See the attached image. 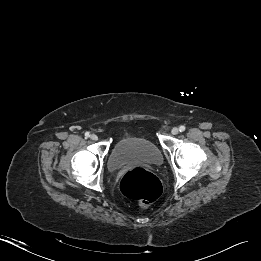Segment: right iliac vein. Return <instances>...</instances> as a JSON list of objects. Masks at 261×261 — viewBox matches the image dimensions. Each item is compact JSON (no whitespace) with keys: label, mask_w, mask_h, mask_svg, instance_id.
<instances>
[{"label":"right iliac vein","mask_w":261,"mask_h":261,"mask_svg":"<svg viewBox=\"0 0 261 261\" xmlns=\"http://www.w3.org/2000/svg\"><path fill=\"white\" fill-rule=\"evenodd\" d=\"M90 138L93 141H97L98 140V136L96 134H92Z\"/></svg>","instance_id":"1"}]
</instances>
